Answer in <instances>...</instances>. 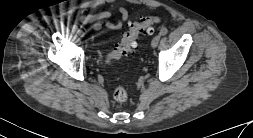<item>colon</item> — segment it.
Instances as JSON below:
<instances>
[{
	"label": "colon",
	"mask_w": 253,
	"mask_h": 138,
	"mask_svg": "<svg viewBox=\"0 0 253 138\" xmlns=\"http://www.w3.org/2000/svg\"><path fill=\"white\" fill-rule=\"evenodd\" d=\"M160 24V18L157 16H146L140 21L132 22L129 29L124 33L121 40L116 44L114 50L107 55V61L119 59L128 55L134 48L137 47V42L141 34H152L156 27ZM113 98L116 102H125L128 98L127 90L119 86L113 93Z\"/></svg>",
	"instance_id": "obj_1"
}]
</instances>
